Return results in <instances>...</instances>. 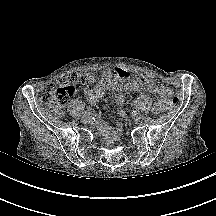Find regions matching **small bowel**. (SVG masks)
Returning a JSON list of instances; mask_svg holds the SVG:
<instances>
[{
	"instance_id": "c3829d8e",
	"label": "small bowel",
	"mask_w": 216,
	"mask_h": 216,
	"mask_svg": "<svg viewBox=\"0 0 216 216\" xmlns=\"http://www.w3.org/2000/svg\"><path fill=\"white\" fill-rule=\"evenodd\" d=\"M91 78V82L83 88V92L91 104L98 103L108 90L117 92L114 101L118 106H122L126 101V97L122 93L123 91H147L156 95L154 110L159 112L163 109L168 88L158 84L150 73H143L137 78H131L127 71L116 68L114 71L109 69L105 70L101 79L95 85L91 84L94 80L93 76ZM121 130V126H118L117 132L119 133Z\"/></svg>"
}]
</instances>
